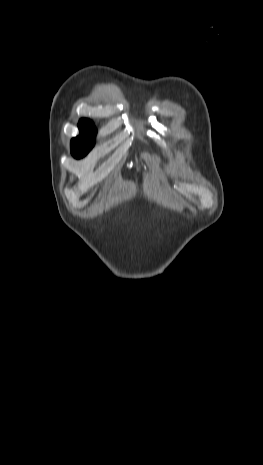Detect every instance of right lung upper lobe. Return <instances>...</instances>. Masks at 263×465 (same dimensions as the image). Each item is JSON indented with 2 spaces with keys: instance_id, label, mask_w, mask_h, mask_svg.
Wrapping results in <instances>:
<instances>
[{
  "instance_id": "1",
  "label": "right lung upper lobe",
  "mask_w": 263,
  "mask_h": 465,
  "mask_svg": "<svg viewBox=\"0 0 263 465\" xmlns=\"http://www.w3.org/2000/svg\"><path fill=\"white\" fill-rule=\"evenodd\" d=\"M80 121L81 122H90V123H92L89 119H81Z\"/></svg>"
}]
</instances>
